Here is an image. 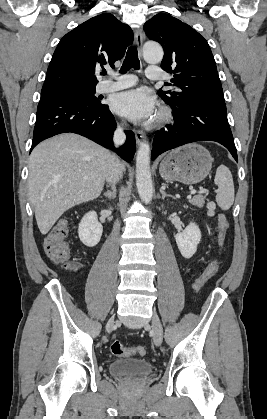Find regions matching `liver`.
<instances>
[{"mask_svg":"<svg viewBox=\"0 0 267 419\" xmlns=\"http://www.w3.org/2000/svg\"><path fill=\"white\" fill-rule=\"evenodd\" d=\"M110 157L107 149L73 133L57 135L33 149L28 189L41 234H47L65 211L101 194Z\"/></svg>","mask_w":267,"mask_h":419,"instance_id":"6515ba94","label":"liver"}]
</instances>
